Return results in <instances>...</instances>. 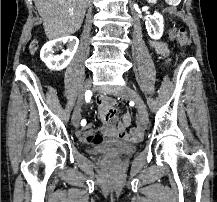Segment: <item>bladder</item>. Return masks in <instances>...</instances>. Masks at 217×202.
Segmentation results:
<instances>
[{
	"label": "bladder",
	"mask_w": 217,
	"mask_h": 202,
	"mask_svg": "<svg viewBox=\"0 0 217 202\" xmlns=\"http://www.w3.org/2000/svg\"><path fill=\"white\" fill-rule=\"evenodd\" d=\"M92 154L100 152H115L117 154H132L136 150V145L123 140H110L104 143H96L88 148Z\"/></svg>",
	"instance_id": "bladder-1"
}]
</instances>
